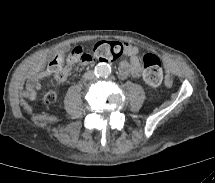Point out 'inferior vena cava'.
Returning <instances> with one entry per match:
<instances>
[{"mask_svg":"<svg viewBox=\"0 0 215 183\" xmlns=\"http://www.w3.org/2000/svg\"><path fill=\"white\" fill-rule=\"evenodd\" d=\"M94 72L93 71H88V72H86L85 74H84V78L85 79H88V80H90V79H93L94 78Z\"/></svg>","mask_w":215,"mask_h":183,"instance_id":"602c4592","label":"inferior vena cava"}]
</instances>
